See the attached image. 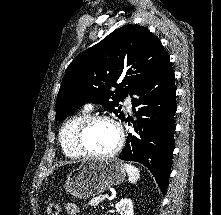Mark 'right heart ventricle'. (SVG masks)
<instances>
[{
    "instance_id": "1",
    "label": "right heart ventricle",
    "mask_w": 221,
    "mask_h": 215,
    "mask_svg": "<svg viewBox=\"0 0 221 215\" xmlns=\"http://www.w3.org/2000/svg\"><path fill=\"white\" fill-rule=\"evenodd\" d=\"M90 110L85 109L72 116L62 127L60 144L64 154L71 158L83 156L76 144V134L82 123L90 117Z\"/></svg>"
}]
</instances>
